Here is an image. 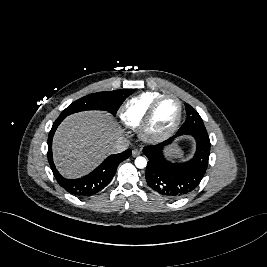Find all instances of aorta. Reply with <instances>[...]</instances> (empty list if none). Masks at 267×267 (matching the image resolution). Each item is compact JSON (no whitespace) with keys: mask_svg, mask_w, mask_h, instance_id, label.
<instances>
[{"mask_svg":"<svg viewBox=\"0 0 267 267\" xmlns=\"http://www.w3.org/2000/svg\"><path fill=\"white\" fill-rule=\"evenodd\" d=\"M135 165H136L137 168H140V169L145 168L146 165H147L146 158L141 157V156L137 157L135 159Z\"/></svg>","mask_w":267,"mask_h":267,"instance_id":"obj_1","label":"aorta"}]
</instances>
